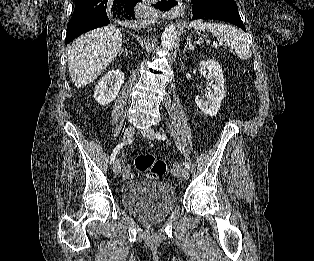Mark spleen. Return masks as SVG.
Wrapping results in <instances>:
<instances>
[{
    "instance_id": "spleen-1",
    "label": "spleen",
    "mask_w": 314,
    "mask_h": 261,
    "mask_svg": "<svg viewBox=\"0 0 314 261\" xmlns=\"http://www.w3.org/2000/svg\"><path fill=\"white\" fill-rule=\"evenodd\" d=\"M189 27L203 32H211L217 40L230 45L235 50V54L242 60H247L252 55L244 33L231 25L204 23L201 20H195L190 23Z\"/></svg>"
}]
</instances>
